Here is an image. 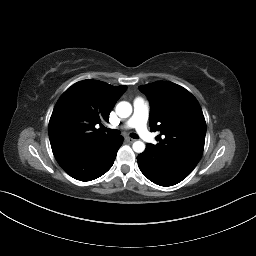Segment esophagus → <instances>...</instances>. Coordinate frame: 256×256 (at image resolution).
I'll list each match as a JSON object with an SVG mask.
<instances>
[{
	"mask_svg": "<svg viewBox=\"0 0 256 256\" xmlns=\"http://www.w3.org/2000/svg\"><path fill=\"white\" fill-rule=\"evenodd\" d=\"M128 143H133L135 140L134 139H132V138H126L125 139Z\"/></svg>",
	"mask_w": 256,
	"mask_h": 256,
	"instance_id": "esophagus-1",
	"label": "esophagus"
}]
</instances>
